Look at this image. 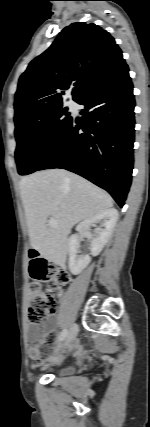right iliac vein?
Returning a JSON list of instances; mask_svg holds the SVG:
<instances>
[{"mask_svg": "<svg viewBox=\"0 0 150 427\" xmlns=\"http://www.w3.org/2000/svg\"><path fill=\"white\" fill-rule=\"evenodd\" d=\"M77 334H78V326L74 324L72 325V327L68 332L65 345L68 346L76 338Z\"/></svg>", "mask_w": 150, "mask_h": 427, "instance_id": "1", "label": "right iliac vein"}]
</instances>
